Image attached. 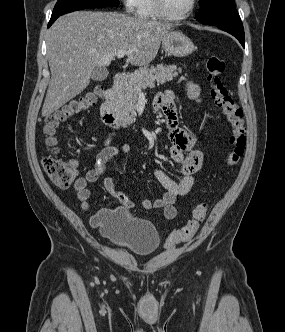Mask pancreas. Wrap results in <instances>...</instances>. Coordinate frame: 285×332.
<instances>
[{
    "label": "pancreas",
    "mask_w": 285,
    "mask_h": 332,
    "mask_svg": "<svg viewBox=\"0 0 285 332\" xmlns=\"http://www.w3.org/2000/svg\"><path fill=\"white\" fill-rule=\"evenodd\" d=\"M178 72L181 73L182 70L178 69ZM178 72L175 65L165 66L159 64L156 67H141L134 73L128 74L124 89L118 99V109L121 118L126 123H132L136 116V102L142 89L154 87L155 82L164 84L167 81H171L178 75Z\"/></svg>",
    "instance_id": "1"
}]
</instances>
